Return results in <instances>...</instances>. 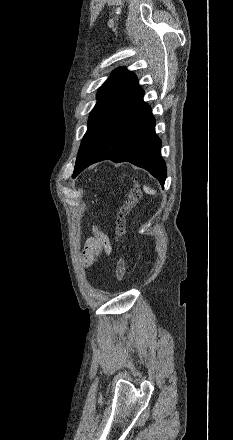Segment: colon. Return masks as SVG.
<instances>
[{
	"instance_id": "colon-1",
	"label": "colon",
	"mask_w": 233,
	"mask_h": 440,
	"mask_svg": "<svg viewBox=\"0 0 233 440\" xmlns=\"http://www.w3.org/2000/svg\"><path fill=\"white\" fill-rule=\"evenodd\" d=\"M142 193L140 188L133 184L129 190L126 202L120 207L116 216V227L114 232L115 241L122 247V238L125 234V223L127 215L137 206L141 199ZM127 273L126 259L121 251L116 265V279L121 281Z\"/></svg>"
}]
</instances>
